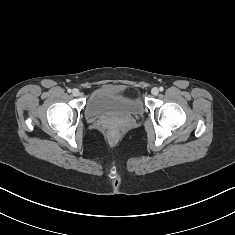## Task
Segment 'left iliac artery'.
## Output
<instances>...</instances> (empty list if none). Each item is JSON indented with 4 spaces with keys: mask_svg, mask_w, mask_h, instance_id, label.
Returning a JSON list of instances; mask_svg holds the SVG:
<instances>
[{
    "mask_svg": "<svg viewBox=\"0 0 235 235\" xmlns=\"http://www.w3.org/2000/svg\"><path fill=\"white\" fill-rule=\"evenodd\" d=\"M159 90H160V91H163V90H164V88H163V87H160V88H159Z\"/></svg>",
    "mask_w": 235,
    "mask_h": 235,
    "instance_id": "obj_1",
    "label": "left iliac artery"
}]
</instances>
